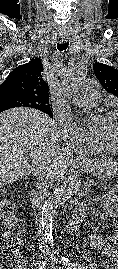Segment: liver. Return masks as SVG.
<instances>
[{
  "label": "liver",
  "mask_w": 118,
  "mask_h": 269,
  "mask_svg": "<svg viewBox=\"0 0 118 269\" xmlns=\"http://www.w3.org/2000/svg\"><path fill=\"white\" fill-rule=\"evenodd\" d=\"M56 142L57 125L43 112L21 107L0 113V186L36 175L44 163L57 175L65 172L73 159Z\"/></svg>",
  "instance_id": "liver-1"
}]
</instances>
